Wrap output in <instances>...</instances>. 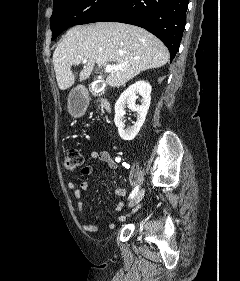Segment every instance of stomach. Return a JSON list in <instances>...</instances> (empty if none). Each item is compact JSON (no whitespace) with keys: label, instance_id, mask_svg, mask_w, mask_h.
I'll return each mask as SVG.
<instances>
[{"label":"stomach","instance_id":"0dacf381","mask_svg":"<svg viewBox=\"0 0 240 281\" xmlns=\"http://www.w3.org/2000/svg\"><path fill=\"white\" fill-rule=\"evenodd\" d=\"M72 94H73V92L69 96L68 110L71 115L77 116L80 114V109H79L78 105L74 102Z\"/></svg>","mask_w":240,"mask_h":281}]
</instances>
